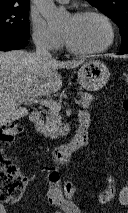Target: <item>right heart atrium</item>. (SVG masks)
I'll return each instance as SVG.
<instances>
[{"label": "right heart atrium", "mask_w": 128, "mask_h": 213, "mask_svg": "<svg viewBox=\"0 0 128 213\" xmlns=\"http://www.w3.org/2000/svg\"><path fill=\"white\" fill-rule=\"evenodd\" d=\"M30 26L33 41L38 47L51 51L61 48L63 44L61 34L50 29L39 15L35 13L30 15Z\"/></svg>", "instance_id": "right-heart-atrium-1"}]
</instances>
